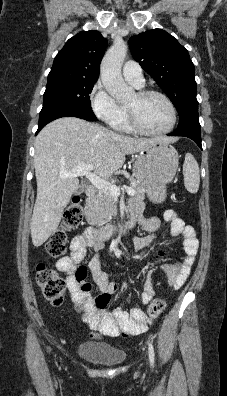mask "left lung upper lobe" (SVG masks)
<instances>
[{
	"label": "left lung upper lobe",
	"mask_w": 227,
	"mask_h": 396,
	"mask_svg": "<svg viewBox=\"0 0 227 396\" xmlns=\"http://www.w3.org/2000/svg\"><path fill=\"white\" fill-rule=\"evenodd\" d=\"M134 59L157 82L179 116L198 107L194 64L188 51L161 29L148 30L129 39Z\"/></svg>",
	"instance_id": "obj_1"
}]
</instances>
